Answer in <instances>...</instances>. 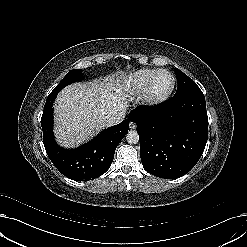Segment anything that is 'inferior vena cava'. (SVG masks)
I'll return each instance as SVG.
<instances>
[{"label":"inferior vena cava","instance_id":"inferior-vena-cava-1","mask_svg":"<svg viewBox=\"0 0 247 247\" xmlns=\"http://www.w3.org/2000/svg\"><path fill=\"white\" fill-rule=\"evenodd\" d=\"M125 118V111L109 114L106 118V126H113L120 123Z\"/></svg>","mask_w":247,"mask_h":247}]
</instances>
